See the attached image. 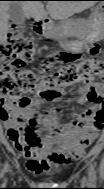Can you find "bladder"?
<instances>
[{
    "mask_svg": "<svg viewBox=\"0 0 104 189\" xmlns=\"http://www.w3.org/2000/svg\"><path fill=\"white\" fill-rule=\"evenodd\" d=\"M48 175L52 176V175H54V173H50V172H49V174H48Z\"/></svg>",
    "mask_w": 104,
    "mask_h": 189,
    "instance_id": "31cf9c89",
    "label": "bladder"
}]
</instances>
